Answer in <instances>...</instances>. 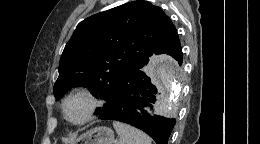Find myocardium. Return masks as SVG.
<instances>
[{"instance_id":"1","label":"myocardium","mask_w":260,"mask_h":144,"mask_svg":"<svg viewBox=\"0 0 260 144\" xmlns=\"http://www.w3.org/2000/svg\"><path fill=\"white\" fill-rule=\"evenodd\" d=\"M78 97L84 98L88 102V107L82 119L78 121H73L69 119L67 116L66 106L70 100ZM99 105H100L99 100L94 94V92L86 86H80L72 90L70 93H68L66 97L63 99L61 104L62 115L64 119L72 125H77V126L83 125L89 122L94 117Z\"/></svg>"}]
</instances>
